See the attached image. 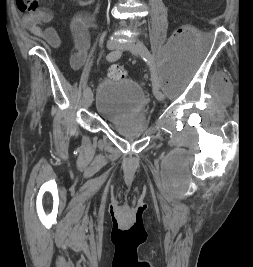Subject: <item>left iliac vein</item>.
Segmentation results:
<instances>
[{
	"instance_id": "left-iliac-vein-1",
	"label": "left iliac vein",
	"mask_w": 253,
	"mask_h": 267,
	"mask_svg": "<svg viewBox=\"0 0 253 267\" xmlns=\"http://www.w3.org/2000/svg\"><path fill=\"white\" fill-rule=\"evenodd\" d=\"M121 47L124 49V50H127L129 51L130 53L134 54V55H138V51L136 49V45L131 42V41H128V42H125L123 44H121ZM146 52L148 53V55L153 58L152 54L150 53V51L147 49ZM154 59V58H153ZM153 93L155 95V97L159 100V101H163L164 100V94L162 93V91H160L159 89L155 88L153 90Z\"/></svg>"
}]
</instances>
